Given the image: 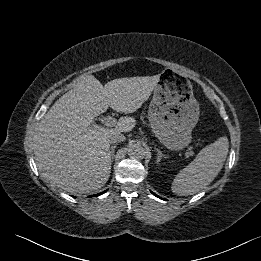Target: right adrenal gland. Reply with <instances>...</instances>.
I'll return each mask as SVG.
<instances>
[{
    "instance_id": "right-adrenal-gland-1",
    "label": "right adrenal gland",
    "mask_w": 261,
    "mask_h": 261,
    "mask_svg": "<svg viewBox=\"0 0 261 261\" xmlns=\"http://www.w3.org/2000/svg\"><path fill=\"white\" fill-rule=\"evenodd\" d=\"M117 147V144H113L112 146H111V156H112V159H113V157H114V152H115V148Z\"/></svg>"
}]
</instances>
